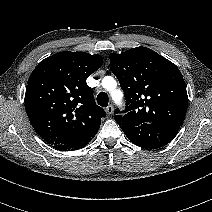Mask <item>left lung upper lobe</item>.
Returning a JSON list of instances; mask_svg holds the SVG:
<instances>
[{"label":"left lung upper lobe","instance_id":"1","mask_svg":"<svg viewBox=\"0 0 212 212\" xmlns=\"http://www.w3.org/2000/svg\"><path fill=\"white\" fill-rule=\"evenodd\" d=\"M110 69L124 91L126 109L114 119L122 130L143 123L181 126L188 96L181 72L171 61L146 47L110 54Z\"/></svg>","mask_w":212,"mask_h":212}]
</instances>
